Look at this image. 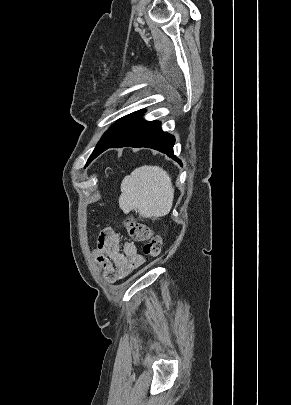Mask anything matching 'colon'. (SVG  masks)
I'll list each match as a JSON object with an SVG mask.
<instances>
[{"label":"colon","instance_id":"5ec220e1","mask_svg":"<svg viewBox=\"0 0 291 405\" xmlns=\"http://www.w3.org/2000/svg\"><path fill=\"white\" fill-rule=\"evenodd\" d=\"M125 228L133 240L143 242V253L146 256L156 258L160 255L162 240L151 227L127 220L125 221Z\"/></svg>","mask_w":291,"mask_h":405}]
</instances>
